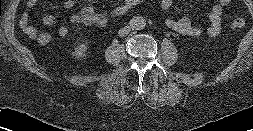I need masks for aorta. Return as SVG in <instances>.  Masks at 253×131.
Wrapping results in <instances>:
<instances>
[{"instance_id": "1", "label": "aorta", "mask_w": 253, "mask_h": 131, "mask_svg": "<svg viewBox=\"0 0 253 131\" xmlns=\"http://www.w3.org/2000/svg\"><path fill=\"white\" fill-rule=\"evenodd\" d=\"M131 28L135 30H141L145 27L146 23L142 17H134L131 22Z\"/></svg>"}]
</instances>
